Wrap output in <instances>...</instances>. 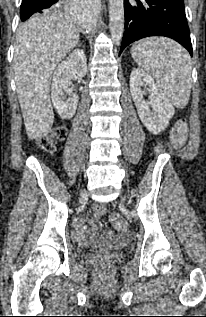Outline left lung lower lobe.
Wrapping results in <instances>:
<instances>
[{
  "mask_svg": "<svg viewBox=\"0 0 206 317\" xmlns=\"http://www.w3.org/2000/svg\"><path fill=\"white\" fill-rule=\"evenodd\" d=\"M125 0V32L120 54L130 43L149 36H166L184 46L192 45L183 0Z\"/></svg>",
  "mask_w": 206,
  "mask_h": 317,
  "instance_id": "0a47b994",
  "label": "left lung lower lobe"
}]
</instances>
